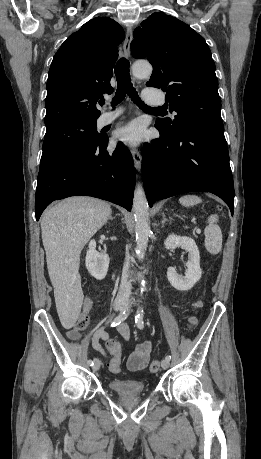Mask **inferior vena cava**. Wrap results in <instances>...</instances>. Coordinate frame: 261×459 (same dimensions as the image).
<instances>
[{
	"instance_id": "obj_1",
	"label": "inferior vena cava",
	"mask_w": 261,
	"mask_h": 459,
	"mask_svg": "<svg viewBox=\"0 0 261 459\" xmlns=\"http://www.w3.org/2000/svg\"><path fill=\"white\" fill-rule=\"evenodd\" d=\"M129 260L130 256L129 253H126V260L124 263L123 267V273H122V278H121V284L119 288V292L116 297V303H126L129 300L130 294H131V282L128 280V269H129Z\"/></svg>"
}]
</instances>
